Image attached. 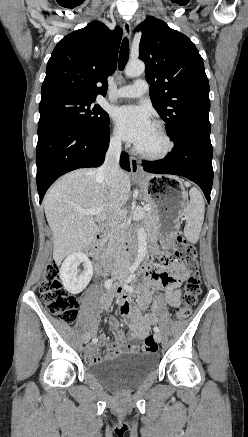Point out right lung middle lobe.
I'll return each instance as SVG.
<instances>
[{
    "instance_id": "1",
    "label": "right lung middle lobe",
    "mask_w": 248,
    "mask_h": 437,
    "mask_svg": "<svg viewBox=\"0 0 248 437\" xmlns=\"http://www.w3.org/2000/svg\"><path fill=\"white\" fill-rule=\"evenodd\" d=\"M94 101L64 93L41 97L39 121L58 119L86 130L102 131L109 125V115L99 105H92Z\"/></svg>"
}]
</instances>
